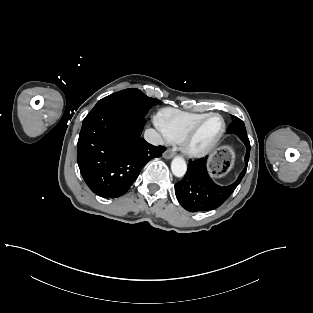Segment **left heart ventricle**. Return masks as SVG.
<instances>
[{"label": "left heart ventricle", "mask_w": 313, "mask_h": 313, "mask_svg": "<svg viewBox=\"0 0 313 313\" xmlns=\"http://www.w3.org/2000/svg\"><path fill=\"white\" fill-rule=\"evenodd\" d=\"M222 128V121L219 117L208 119L196 133L193 144L195 147L203 148L208 146L219 134Z\"/></svg>", "instance_id": "b2bd125f"}]
</instances>
